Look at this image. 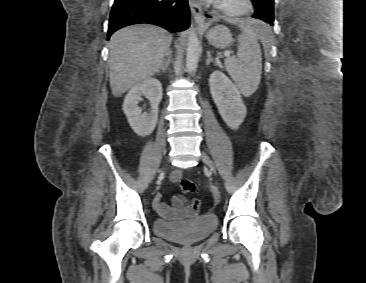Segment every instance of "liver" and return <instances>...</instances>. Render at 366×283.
<instances>
[{
    "instance_id": "obj_1",
    "label": "liver",
    "mask_w": 366,
    "mask_h": 283,
    "mask_svg": "<svg viewBox=\"0 0 366 283\" xmlns=\"http://www.w3.org/2000/svg\"><path fill=\"white\" fill-rule=\"evenodd\" d=\"M171 41L168 31L152 24H137L116 31L109 42L112 94L119 97L154 75L168 54Z\"/></svg>"
}]
</instances>
